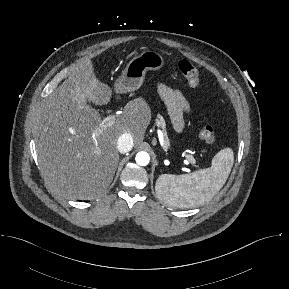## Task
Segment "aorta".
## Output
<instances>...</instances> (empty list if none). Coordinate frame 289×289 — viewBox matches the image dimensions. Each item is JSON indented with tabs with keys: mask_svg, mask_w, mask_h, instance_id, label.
Segmentation results:
<instances>
[{
	"mask_svg": "<svg viewBox=\"0 0 289 289\" xmlns=\"http://www.w3.org/2000/svg\"><path fill=\"white\" fill-rule=\"evenodd\" d=\"M136 163L140 166H146L149 164L150 156L147 152L141 151L136 154Z\"/></svg>",
	"mask_w": 289,
	"mask_h": 289,
	"instance_id": "762f6f07",
	"label": "aorta"
}]
</instances>
